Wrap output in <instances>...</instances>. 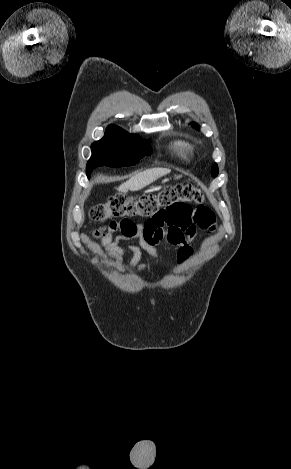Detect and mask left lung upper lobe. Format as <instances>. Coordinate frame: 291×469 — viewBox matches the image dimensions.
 I'll use <instances>...</instances> for the list:
<instances>
[{"label":"left lung upper lobe","mask_w":291,"mask_h":469,"mask_svg":"<svg viewBox=\"0 0 291 469\" xmlns=\"http://www.w3.org/2000/svg\"><path fill=\"white\" fill-rule=\"evenodd\" d=\"M192 126L196 129H199V126L196 123H192ZM212 175L216 177L218 175V166L215 163L214 166L212 167Z\"/></svg>","instance_id":"left-lung-upper-lobe-1"}]
</instances>
